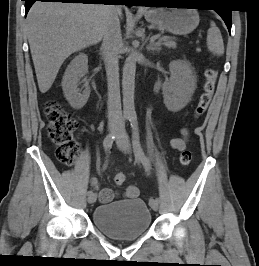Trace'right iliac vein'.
Returning a JSON list of instances; mask_svg holds the SVG:
<instances>
[{
  "label": "right iliac vein",
  "mask_w": 259,
  "mask_h": 266,
  "mask_svg": "<svg viewBox=\"0 0 259 266\" xmlns=\"http://www.w3.org/2000/svg\"><path fill=\"white\" fill-rule=\"evenodd\" d=\"M117 128H118V122L117 121H112L109 123V126H108V131L110 133H113V132H116L117 131ZM96 194L93 193L92 195L88 196V203L92 204L96 201Z\"/></svg>",
  "instance_id": "obj_1"
}]
</instances>
